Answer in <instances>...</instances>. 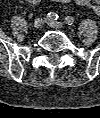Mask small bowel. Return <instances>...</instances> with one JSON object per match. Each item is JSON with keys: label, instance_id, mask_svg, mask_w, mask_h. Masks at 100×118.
I'll list each match as a JSON object with an SVG mask.
<instances>
[{"label": "small bowel", "instance_id": "small-bowel-1", "mask_svg": "<svg viewBox=\"0 0 100 118\" xmlns=\"http://www.w3.org/2000/svg\"><path fill=\"white\" fill-rule=\"evenodd\" d=\"M31 4L39 3L41 0H26ZM59 3H70L73 2L78 6L86 7L91 9L94 13L100 14V0H51Z\"/></svg>", "mask_w": 100, "mask_h": 118}]
</instances>
